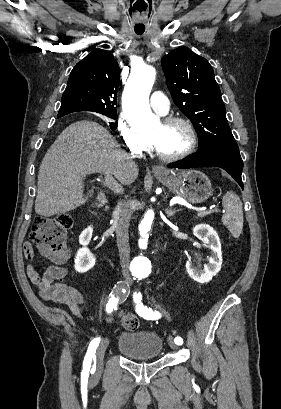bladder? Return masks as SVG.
Listing matches in <instances>:
<instances>
[{
    "label": "bladder",
    "instance_id": "obj_1",
    "mask_svg": "<svg viewBox=\"0 0 281 409\" xmlns=\"http://www.w3.org/2000/svg\"><path fill=\"white\" fill-rule=\"evenodd\" d=\"M115 347L121 355L131 361H154L163 355L164 339L153 330L121 329Z\"/></svg>",
    "mask_w": 281,
    "mask_h": 409
}]
</instances>
